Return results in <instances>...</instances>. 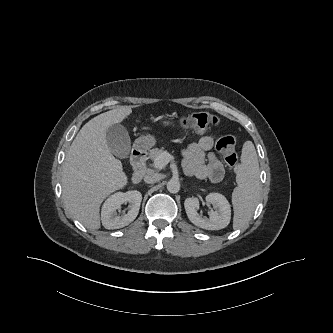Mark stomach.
Segmentation results:
<instances>
[{"label": "stomach", "mask_w": 333, "mask_h": 333, "mask_svg": "<svg viewBox=\"0 0 333 333\" xmlns=\"http://www.w3.org/2000/svg\"><path fill=\"white\" fill-rule=\"evenodd\" d=\"M163 126L173 125V122L170 120L161 121ZM156 144V138L151 134L142 135L137 138L134 143V147L141 151H146L152 148Z\"/></svg>", "instance_id": "stomach-1"}]
</instances>
